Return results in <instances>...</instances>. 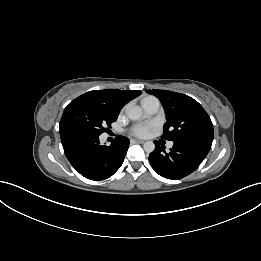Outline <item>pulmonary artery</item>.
<instances>
[{"label":"pulmonary artery","instance_id":"obj_1","mask_svg":"<svg viewBox=\"0 0 261 261\" xmlns=\"http://www.w3.org/2000/svg\"><path fill=\"white\" fill-rule=\"evenodd\" d=\"M142 108L147 117H152L158 112L160 101L155 97H147L142 101ZM172 146L173 143L169 142L168 147L171 148Z\"/></svg>","mask_w":261,"mask_h":261}]
</instances>
